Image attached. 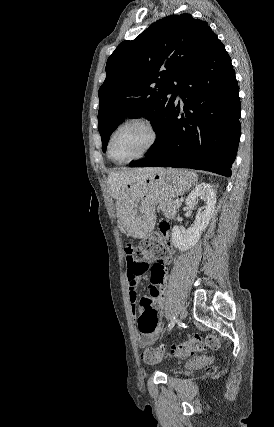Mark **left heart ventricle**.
Wrapping results in <instances>:
<instances>
[{"label": "left heart ventricle", "instance_id": "obj_1", "mask_svg": "<svg viewBox=\"0 0 274 427\" xmlns=\"http://www.w3.org/2000/svg\"><path fill=\"white\" fill-rule=\"evenodd\" d=\"M151 134L142 124H132L119 130L111 143L112 155L126 161L139 154L150 142Z\"/></svg>", "mask_w": 274, "mask_h": 427}]
</instances>
